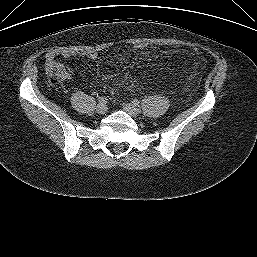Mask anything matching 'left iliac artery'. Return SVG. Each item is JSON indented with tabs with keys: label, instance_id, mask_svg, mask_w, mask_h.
Returning a JSON list of instances; mask_svg holds the SVG:
<instances>
[{
	"label": "left iliac artery",
	"instance_id": "44dca946",
	"mask_svg": "<svg viewBox=\"0 0 257 257\" xmlns=\"http://www.w3.org/2000/svg\"><path fill=\"white\" fill-rule=\"evenodd\" d=\"M132 103H133L135 106H139L140 101L137 100V99H134V100L132 101Z\"/></svg>",
	"mask_w": 257,
	"mask_h": 257
}]
</instances>
